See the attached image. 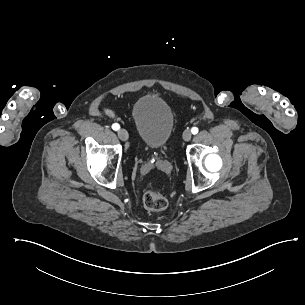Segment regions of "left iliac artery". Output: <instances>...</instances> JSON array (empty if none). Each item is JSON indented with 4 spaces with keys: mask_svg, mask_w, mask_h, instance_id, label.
Instances as JSON below:
<instances>
[{
    "mask_svg": "<svg viewBox=\"0 0 305 305\" xmlns=\"http://www.w3.org/2000/svg\"><path fill=\"white\" fill-rule=\"evenodd\" d=\"M191 132H192V134H197L198 133V128L197 127H193L192 129H191Z\"/></svg>",
    "mask_w": 305,
    "mask_h": 305,
    "instance_id": "left-iliac-artery-1",
    "label": "left iliac artery"
}]
</instances>
